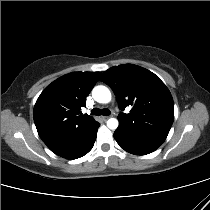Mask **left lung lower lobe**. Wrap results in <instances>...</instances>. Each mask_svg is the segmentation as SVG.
Returning <instances> with one entry per match:
<instances>
[{
  "mask_svg": "<svg viewBox=\"0 0 210 210\" xmlns=\"http://www.w3.org/2000/svg\"><path fill=\"white\" fill-rule=\"evenodd\" d=\"M114 138L125 151L135 155H145L155 151L162 143L126 136L115 131Z\"/></svg>",
  "mask_w": 210,
  "mask_h": 210,
  "instance_id": "1",
  "label": "left lung lower lobe"
}]
</instances>
